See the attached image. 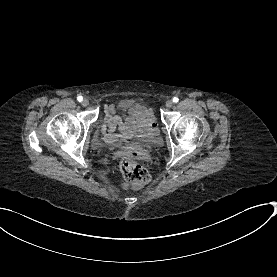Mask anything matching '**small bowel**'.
I'll return each mask as SVG.
<instances>
[{
	"instance_id": "obj_1",
	"label": "small bowel",
	"mask_w": 277,
	"mask_h": 277,
	"mask_svg": "<svg viewBox=\"0 0 277 277\" xmlns=\"http://www.w3.org/2000/svg\"><path fill=\"white\" fill-rule=\"evenodd\" d=\"M108 116L105 118L102 132L105 134V142L113 144L117 135L113 131L119 127L120 130L129 134L133 131L155 134L157 130L156 121L151 108L145 103H139L134 110L125 116L115 114L113 106H108Z\"/></svg>"
}]
</instances>
